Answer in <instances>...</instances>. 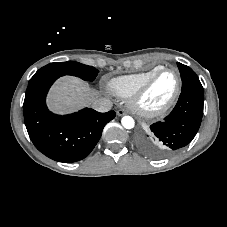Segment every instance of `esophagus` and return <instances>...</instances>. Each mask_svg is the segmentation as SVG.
<instances>
[{
    "label": "esophagus",
    "instance_id": "obj_1",
    "mask_svg": "<svg viewBox=\"0 0 227 227\" xmlns=\"http://www.w3.org/2000/svg\"><path fill=\"white\" fill-rule=\"evenodd\" d=\"M125 114H126V111L123 110V109H119V110L117 111V115H118V116H124Z\"/></svg>",
    "mask_w": 227,
    "mask_h": 227
}]
</instances>
